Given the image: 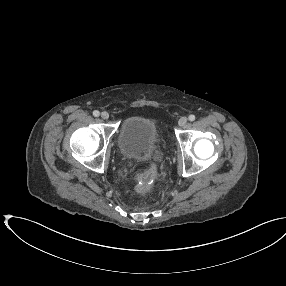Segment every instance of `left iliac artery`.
Listing matches in <instances>:
<instances>
[{"label": "left iliac artery", "mask_w": 286, "mask_h": 286, "mask_svg": "<svg viewBox=\"0 0 286 286\" xmlns=\"http://www.w3.org/2000/svg\"><path fill=\"white\" fill-rule=\"evenodd\" d=\"M188 119H189V121H194L195 120V115H190L189 117H188Z\"/></svg>", "instance_id": "1"}]
</instances>
